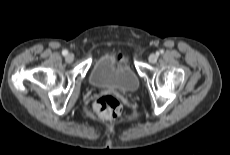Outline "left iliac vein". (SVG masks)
<instances>
[{"label":"left iliac vein","mask_w":230,"mask_h":155,"mask_svg":"<svg viewBox=\"0 0 230 155\" xmlns=\"http://www.w3.org/2000/svg\"><path fill=\"white\" fill-rule=\"evenodd\" d=\"M157 59H158V55L154 54V53L150 54L149 57H148V60L151 63H155L157 61Z\"/></svg>","instance_id":"obj_1"}]
</instances>
